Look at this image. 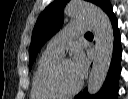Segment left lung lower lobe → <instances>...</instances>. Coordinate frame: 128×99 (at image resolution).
I'll use <instances>...</instances> for the list:
<instances>
[{
  "label": "left lung lower lobe",
  "mask_w": 128,
  "mask_h": 99,
  "mask_svg": "<svg viewBox=\"0 0 128 99\" xmlns=\"http://www.w3.org/2000/svg\"><path fill=\"white\" fill-rule=\"evenodd\" d=\"M100 7L110 17L114 29V49L111 65L107 78L101 90L96 95H89L87 89H84L83 92L79 93L74 99H117L118 80L121 72L120 62L122 54L120 34L117 26V19L113 13L109 0H103Z\"/></svg>",
  "instance_id": "1"
}]
</instances>
